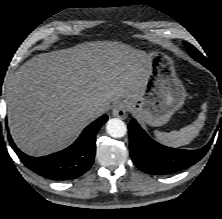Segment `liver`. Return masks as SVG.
Here are the masks:
<instances>
[{
	"mask_svg": "<svg viewBox=\"0 0 222 219\" xmlns=\"http://www.w3.org/2000/svg\"><path fill=\"white\" fill-rule=\"evenodd\" d=\"M149 55L127 44L93 41L39 54L7 82V116L16 145L31 156L61 150L120 99L144 90Z\"/></svg>",
	"mask_w": 222,
	"mask_h": 219,
	"instance_id": "obj_1",
	"label": "liver"
}]
</instances>
